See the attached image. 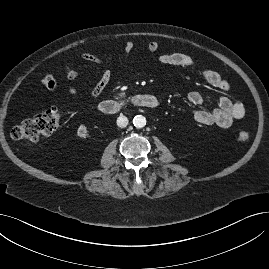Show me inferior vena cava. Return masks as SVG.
<instances>
[{
  "label": "inferior vena cava",
  "mask_w": 269,
  "mask_h": 269,
  "mask_svg": "<svg viewBox=\"0 0 269 269\" xmlns=\"http://www.w3.org/2000/svg\"><path fill=\"white\" fill-rule=\"evenodd\" d=\"M117 125L120 128L126 127L128 125V118L123 115L119 116L117 118Z\"/></svg>",
  "instance_id": "inferior-vena-cava-1"
}]
</instances>
